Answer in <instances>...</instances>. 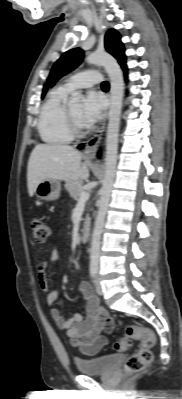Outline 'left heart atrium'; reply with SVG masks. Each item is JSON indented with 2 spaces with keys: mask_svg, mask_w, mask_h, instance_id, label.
<instances>
[{
  "mask_svg": "<svg viewBox=\"0 0 182 399\" xmlns=\"http://www.w3.org/2000/svg\"><path fill=\"white\" fill-rule=\"evenodd\" d=\"M105 99L97 92L87 94L80 114V121L84 127H89L101 119L105 110Z\"/></svg>",
  "mask_w": 182,
  "mask_h": 399,
  "instance_id": "obj_1",
  "label": "left heart atrium"
}]
</instances>
